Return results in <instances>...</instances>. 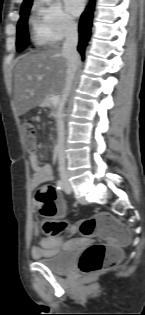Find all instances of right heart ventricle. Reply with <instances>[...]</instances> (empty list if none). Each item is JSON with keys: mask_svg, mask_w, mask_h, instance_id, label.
I'll use <instances>...</instances> for the list:
<instances>
[{"mask_svg": "<svg viewBox=\"0 0 145 315\" xmlns=\"http://www.w3.org/2000/svg\"><path fill=\"white\" fill-rule=\"evenodd\" d=\"M31 35L36 45L42 46L49 43V40L47 39L44 30L37 19L32 20Z\"/></svg>", "mask_w": 145, "mask_h": 315, "instance_id": "e07e8e85", "label": "right heart ventricle"}]
</instances>
